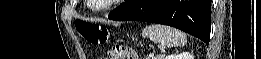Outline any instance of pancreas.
<instances>
[{
	"label": "pancreas",
	"instance_id": "cf45deb5",
	"mask_svg": "<svg viewBox=\"0 0 261 59\" xmlns=\"http://www.w3.org/2000/svg\"><path fill=\"white\" fill-rule=\"evenodd\" d=\"M152 59H162L161 56L153 57Z\"/></svg>",
	"mask_w": 261,
	"mask_h": 59
}]
</instances>
